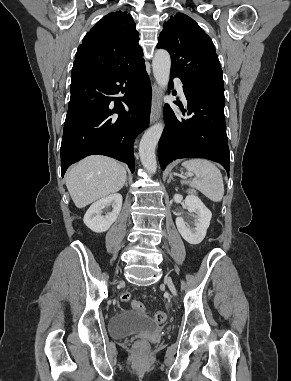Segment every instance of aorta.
Here are the masks:
<instances>
[{"label": "aorta", "mask_w": 291, "mask_h": 381, "mask_svg": "<svg viewBox=\"0 0 291 381\" xmlns=\"http://www.w3.org/2000/svg\"><path fill=\"white\" fill-rule=\"evenodd\" d=\"M171 59L169 53L164 49L155 52L152 68L157 84L165 89L169 83ZM164 124L157 123L145 131L139 145V156L143 167L150 173H155L157 161L155 149L162 135Z\"/></svg>", "instance_id": "aorta-1"}]
</instances>
